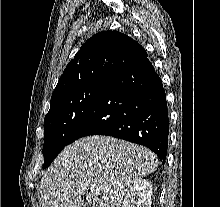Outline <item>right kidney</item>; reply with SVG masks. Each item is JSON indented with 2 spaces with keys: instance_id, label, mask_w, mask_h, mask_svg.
<instances>
[{
  "instance_id": "ca27d5eb",
  "label": "right kidney",
  "mask_w": 220,
  "mask_h": 207,
  "mask_svg": "<svg viewBox=\"0 0 220 207\" xmlns=\"http://www.w3.org/2000/svg\"><path fill=\"white\" fill-rule=\"evenodd\" d=\"M152 185L148 180L134 182L122 203V207H151Z\"/></svg>"
}]
</instances>
